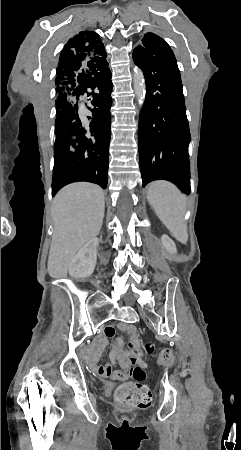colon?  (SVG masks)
<instances>
[{"label":"colon","instance_id":"1","mask_svg":"<svg viewBox=\"0 0 241 450\" xmlns=\"http://www.w3.org/2000/svg\"><path fill=\"white\" fill-rule=\"evenodd\" d=\"M154 348L153 342H147L143 350L146 355H151L154 352ZM171 353L172 348L165 346L160 353V362H168ZM125 372L135 381H142L149 376V370L142 366L128 367ZM113 399L117 405H123L133 410L149 409L152 404L150 389L141 384L127 383L116 387L113 393Z\"/></svg>","mask_w":241,"mask_h":450}]
</instances>
